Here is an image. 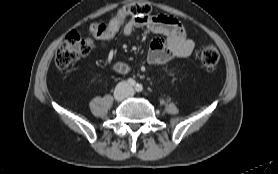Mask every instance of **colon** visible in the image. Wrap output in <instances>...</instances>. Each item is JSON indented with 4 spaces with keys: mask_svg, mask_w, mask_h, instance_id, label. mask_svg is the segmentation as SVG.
Here are the masks:
<instances>
[{
    "mask_svg": "<svg viewBox=\"0 0 278 174\" xmlns=\"http://www.w3.org/2000/svg\"><path fill=\"white\" fill-rule=\"evenodd\" d=\"M151 11L148 4L142 1H132L125 4L107 23L97 21L91 24L90 31L97 38H113L120 29L123 21L131 16L146 15ZM176 26L183 25L178 20ZM184 28V27H183ZM93 47V40L84 37L80 32L72 31L67 34L64 41L58 47L55 55V64L58 68L64 69L87 56ZM220 54L213 45L205 46L201 51L200 63L206 71H213L218 62Z\"/></svg>",
    "mask_w": 278,
    "mask_h": 174,
    "instance_id": "5ec220e1",
    "label": "colon"
}]
</instances>
